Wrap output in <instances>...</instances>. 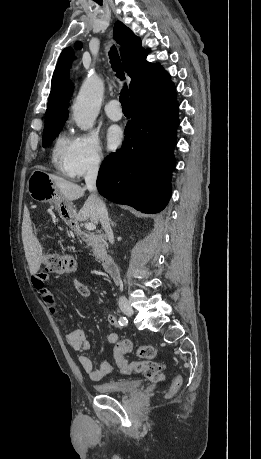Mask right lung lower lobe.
Segmentation results:
<instances>
[{"mask_svg":"<svg viewBox=\"0 0 261 459\" xmlns=\"http://www.w3.org/2000/svg\"><path fill=\"white\" fill-rule=\"evenodd\" d=\"M122 147L101 164L97 188L105 198L158 213L171 195L178 103L174 84L131 102Z\"/></svg>","mask_w":261,"mask_h":459,"instance_id":"1","label":"right lung lower lobe"}]
</instances>
